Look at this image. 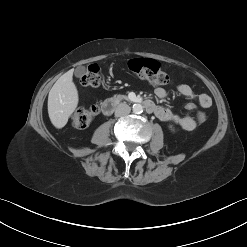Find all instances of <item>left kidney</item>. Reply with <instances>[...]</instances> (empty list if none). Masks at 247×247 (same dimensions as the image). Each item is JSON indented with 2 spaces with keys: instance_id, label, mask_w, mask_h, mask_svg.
<instances>
[{
  "instance_id": "5707ae66",
  "label": "left kidney",
  "mask_w": 247,
  "mask_h": 247,
  "mask_svg": "<svg viewBox=\"0 0 247 247\" xmlns=\"http://www.w3.org/2000/svg\"><path fill=\"white\" fill-rule=\"evenodd\" d=\"M169 128H170L172 131H174V128H173V126H172V125H170V126H169Z\"/></svg>"
}]
</instances>
